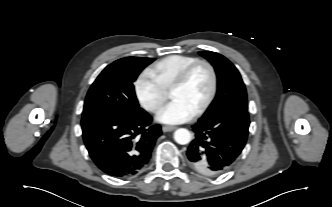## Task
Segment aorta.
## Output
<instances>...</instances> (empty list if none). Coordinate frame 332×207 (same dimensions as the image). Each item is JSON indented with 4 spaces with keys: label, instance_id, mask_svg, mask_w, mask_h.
I'll return each mask as SVG.
<instances>
[{
    "label": "aorta",
    "instance_id": "762f6f07",
    "mask_svg": "<svg viewBox=\"0 0 332 207\" xmlns=\"http://www.w3.org/2000/svg\"><path fill=\"white\" fill-rule=\"evenodd\" d=\"M174 140L181 145L188 144L191 141V134L185 128H179L174 132Z\"/></svg>",
    "mask_w": 332,
    "mask_h": 207
}]
</instances>
